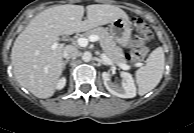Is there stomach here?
Masks as SVG:
<instances>
[{
  "mask_svg": "<svg viewBox=\"0 0 194 133\" xmlns=\"http://www.w3.org/2000/svg\"><path fill=\"white\" fill-rule=\"evenodd\" d=\"M109 32L117 43L126 47L131 38V23L128 18L121 17L112 21Z\"/></svg>",
  "mask_w": 194,
  "mask_h": 133,
  "instance_id": "1",
  "label": "stomach"
}]
</instances>
